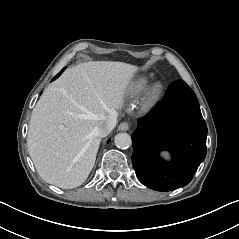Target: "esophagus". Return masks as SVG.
<instances>
[{"label":"esophagus","mask_w":239,"mask_h":239,"mask_svg":"<svg viewBox=\"0 0 239 239\" xmlns=\"http://www.w3.org/2000/svg\"><path fill=\"white\" fill-rule=\"evenodd\" d=\"M118 129L120 131H127L129 129V124L127 122H123L119 125Z\"/></svg>","instance_id":"1"}]
</instances>
